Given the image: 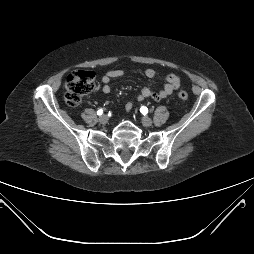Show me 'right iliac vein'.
Returning <instances> with one entry per match:
<instances>
[{
    "label": "right iliac vein",
    "mask_w": 254,
    "mask_h": 254,
    "mask_svg": "<svg viewBox=\"0 0 254 254\" xmlns=\"http://www.w3.org/2000/svg\"><path fill=\"white\" fill-rule=\"evenodd\" d=\"M99 122L101 123V124H106L107 122H108V116L107 115H102V116H100L99 117Z\"/></svg>",
    "instance_id": "1"
}]
</instances>
